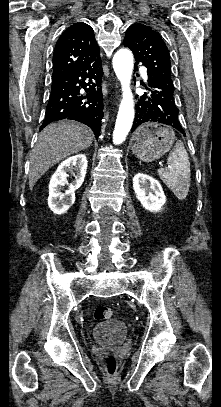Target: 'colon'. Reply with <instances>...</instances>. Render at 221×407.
Returning <instances> with one entry per match:
<instances>
[{
  "label": "colon",
  "mask_w": 221,
  "mask_h": 407,
  "mask_svg": "<svg viewBox=\"0 0 221 407\" xmlns=\"http://www.w3.org/2000/svg\"><path fill=\"white\" fill-rule=\"evenodd\" d=\"M113 317V310L108 306H97L94 310V318L97 321L110 320ZM116 370L115 358L112 354L106 357V372L108 375H113Z\"/></svg>",
  "instance_id": "5ec220e1"
}]
</instances>
